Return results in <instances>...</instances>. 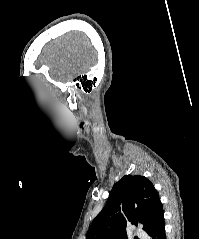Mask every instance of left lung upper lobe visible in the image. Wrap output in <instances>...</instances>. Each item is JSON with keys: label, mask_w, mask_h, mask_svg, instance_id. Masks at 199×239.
Wrapping results in <instances>:
<instances>
[{"label": "left lung upper lobe", "mask_w": 199, "mask_h": 239, "mask_svg": "<svg viewBox=\"0 0 199 239\" xmlns=\"http://www.w3.org/2000/svg\"><path fill=\"white\" fill-rule=\"evenodd\" d=\"M161 210L162 204L153 184L144 176L126 175L114 184L86 239H127L128 224H141L147 231Z\"/></svg>", "instance_id": "obj_1"}]
</instances>
